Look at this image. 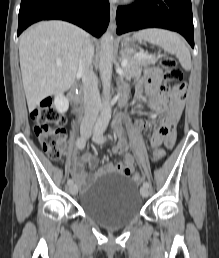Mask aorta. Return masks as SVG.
<instances>
[{
	"mask_svg": "<svg viewBox=\"0 0 219 258\" xmlns=\"http://www.w3.org/2000/svg\"><path fill=\"white\" fill-rule=\"evenodd\" d=\"M113 42L114 38L112 33L107 30L101 38V48H100V62L99 70L101 81L103 85L104 92V102L102 111L96 122V129L98 131H104L111 119V105L109 102V94L111 88L112 79V64H113Z\"/></svg>",
	"mask_w": 219,
	"mask_h": 258,
	"instance_id": "1",
	"label": "aorta"
}]
</instances>
